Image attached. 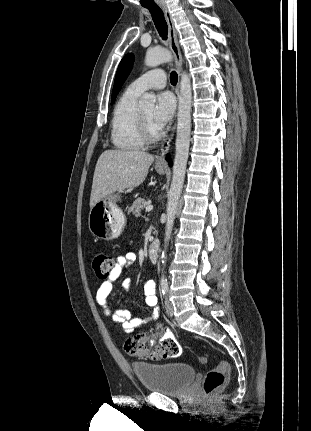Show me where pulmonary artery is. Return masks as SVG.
<instances>
[{
	"label": "pulmonary artery",
	"instance_id": "pulmonary-artery-1",
	"mask_svg": "<svg viewBox=\"0 0 311 431\" xmlns=\"http://www.w3.org/2000/svg\"><path fill=\"white\" fill-rule=\"evenodd\" d=\"M166 83L167 75L165 71L157 68L138 77L128 86V89L134 93L141 94L149 89L164 88Z\"/></svg>",
	"mask_w": 311,
	"mask_h": 431
}]
</instances>
